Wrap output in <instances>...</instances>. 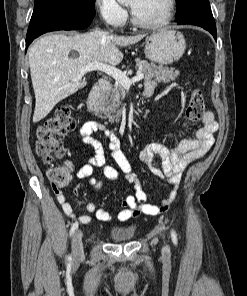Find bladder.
<instances>
[{
    "instance_id": "1",
    "label": "bladder",
    "mask_w": 247,
    "mask_h": 296,
    "mask_svg": "<svg viewBox=\"0 0 247 296\" xmlns=\"http://www.w3.org/2000/svg\"><path fill=\"white\" fill-rule=\"evenodd\" d=\"M135 235L134 227H115L111 231V238L114 242H127Z\"/></svg>"
}]
</instances>
